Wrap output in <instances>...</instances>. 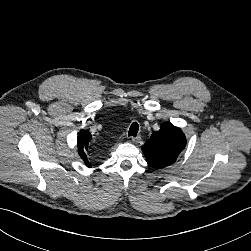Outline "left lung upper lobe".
Returning <instances> with one entry per match:
<instances>
[{
	"label": "left lung upper lobe",
	"instance_id": "left-lung-upper-lobe-1",
	"mask_svg": "<svg viewBox=\"0 0 251 251\" xmlns=\"http://www.w3.org/2000/svg\"><path fill=\"white\" fill-rule=\"evenodd\" d=\"M185 145L186 138L182 130L165 122L141 148L149 166L160 169L174 164Z\"/></svg>",
	"mask_w": 251,
	"mask_h": 251
}]
</instances>
